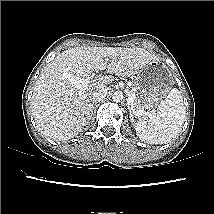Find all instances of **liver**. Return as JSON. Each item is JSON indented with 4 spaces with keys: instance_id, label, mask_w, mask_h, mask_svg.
<instances>
[{
    "instance_id": "6515ba94",
    "label": "liver",
    "mask_w": 214,
    "mask_h": 214,
    "mask_svg": "<svg viewBox=\"0 0 214 214\" xmlns=\"http://www.w3.org/2000/svg\"><path fill=\"white\" fill-rule=\"evenodd\" d=\"M154 60H158L155 54L139 47L81 46L63 51L44 67L33 89L31 111L38 129L55 141L75 137L91 119L93 91L114 79L111 75L103 76L80 90L63 78L64 72L85 78L106 69L108 74L126 78Z\"/></svg>"
}]
</instances>
